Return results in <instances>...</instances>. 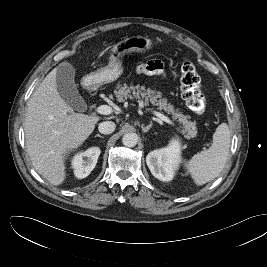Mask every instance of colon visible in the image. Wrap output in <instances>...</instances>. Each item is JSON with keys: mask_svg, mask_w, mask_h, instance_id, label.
Here are the masks:
<instances>
[{"mask_svg": "<svg viewBox=\"0 0 267 267\" xmlns=\"http://www.w3.org/2000/svg\"><path fill=\"white\" fill-rule=\"evenodd\" d=\"M180 89L187 107L196 114H203L207 101L200 90V77L196 67L189 60L181 66Z\"/></svg>", "mask_w": 267, "mask_h": 267, "instance_id": "colon-1", "label": "colon"}]
</instances>
